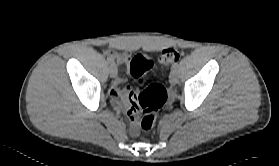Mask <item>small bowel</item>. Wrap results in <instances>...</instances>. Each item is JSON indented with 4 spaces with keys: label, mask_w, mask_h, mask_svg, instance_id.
<instances>
[{
    "label": "small bowel",
    "mask_w": 279,
    "mask_h": 166,
    "mask_svg": "<svg viewBox=\"0 0 279 166\" xmlns=\"http://www.w3.org/2000/svg\"><path fill=\"white\" fill-rule=\"evenodd\" d=\"M109 57L115 59L119 64L129 65L131 55L128 52H118L116 50L108 51ZM123 80L117 78L110 88V95L114 103L127 111V115L131 120H134L135 114L139 110L138 94L132 87H122ZM132 134L137 133L135 127L131 130Z\"/></svg>",
    "instance_id": "1"
}]
</instances>
